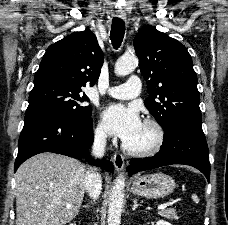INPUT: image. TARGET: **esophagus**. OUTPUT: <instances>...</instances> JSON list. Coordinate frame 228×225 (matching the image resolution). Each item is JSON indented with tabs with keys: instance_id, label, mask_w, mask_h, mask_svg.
<instances>
[{
	"instance_id": "esophagus-1",
	"label": "esophagus",
	"mask_w": 228,
	"mask_h": 225,
	"mask_svg": "<svg viewBox=\"0 0 228 225\" xmlns=\"http://www.w3.org/2000/svg\"><path fill=\"white\" fill-rule=\"evenodd\" d=\"M119 18H125L122 15H118ZM113 162L115 165L116 170L121 173L124 168V157L121 153H115L113 156Z\"/></svg>"
}]
</instances>
